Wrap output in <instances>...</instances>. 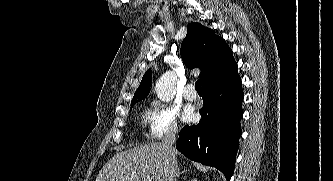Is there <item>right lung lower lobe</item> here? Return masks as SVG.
<instances>
[{
    "instance_id": "right-lung-lower-lobe-1",
    "label": "right lung lower lobe",
    "mask_w": 333,
    "mask_h": 181,
    "mask_svg": "<svg viewBox=\"0 0 333 181\" xmlns=\"http://www.w3.org/2000/svg\"><path fill=\"white\" fill-rule=\"evenodd\" d=\"M202 91V118L197 125H186L180 131L176 148L193 161L219 169L229 181L242 133L241 79L236 72Z\"/></svg>"
}]
</instances>
